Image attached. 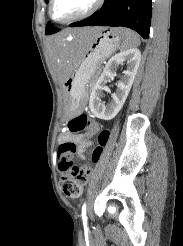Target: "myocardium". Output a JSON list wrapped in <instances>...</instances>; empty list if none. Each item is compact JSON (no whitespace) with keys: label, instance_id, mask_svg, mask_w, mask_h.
<instances>
[{"label":"myocardium","instance_id":"obj_1","mask_svg":"<svg viewBox=\"0 0 183 246\" xmlns=\"http://www.w3.org/2000/svg\"><path fill=\"white\" fill-rule=\"evenodd\" d=\"M54 1L55 0L49 1L48 13H49L50 18L57 23L68 24V23H73V22H76V21H79V20H82L84 18L89 17L90 15L95 13L101 7L104 0H94L93 4L85 12H83L80 15H77V16H74L72 18L65 19V20H58L54 17V15H53Z\"/></svg>","mask_w":183,"mask_h":246}]
</instances>
